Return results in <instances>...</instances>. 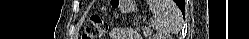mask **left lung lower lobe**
<instances>
[{
  "instance_id": "obj_1",
  "label": "left lung lower lobe",
  "mask_w": 249,
  "mask_h": 39,
  "mask_svg": "<svg viewBox=\"0 0 249 39\" xmlns=\"http://www.w3.org/2000/svg\"><path fill=\"white\" fill-rule=\"evenodd\" d=\"M175 2L178 4L179 2H181L179 6V8L181 9V11L183 12L184 11V1L183 0H175Z\"/></svg>"
}]
</instances>
